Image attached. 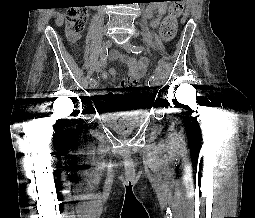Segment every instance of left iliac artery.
<instances>
[{
	"label": "left iliac artery",
	"instance_id": "1",
	"mask_svg": "<svg viewBox=\"0 0 255 218\" xmlns=\"http://www.w3.org/2000/svg\"><path fill=\"white\" fill-rule=\"evenodd\" d=\"M143 51V47L141 46H133L132 47V53L134 54H140ZM155 83V76L152 75L148 80V86H153Z\"/></svg>",
	"mask_w": 255,
	"mask_h": 218
}]
</instances>
